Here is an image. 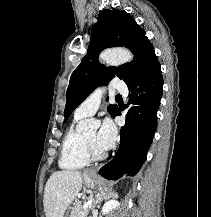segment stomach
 Listing matches in <instances>:
<instances>
[{"label": "stomach", "mask_w": 211, "mask_h": 217, "mask_svg": "<svg viewBox=\"0 0 211 217\" xmlns=\"http://www.w3.org/2000/svg\"><path fill=\"white\" fill-rule=\"evenodd\" d=\"M83 179H84V183L91 188H94L97 186L98 184V188L99 190H108V188L106 186H103L102 184H100L98 176L95 172H86L83 175ZM71 216V212H67L65 217H70Z\"/></svg>", "instance_id": "0dacf381"}]
</instances>
